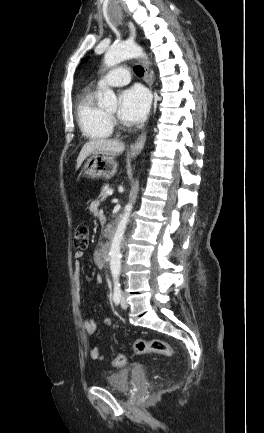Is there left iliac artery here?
Masks as SVG:
<instances>
[{
  "label": "left iliac artery",
  "mask_w": 264,
  "mask_h": 433,
  "mask_svg": "<svg viewBox=\"0 0 264 433\" xmlns=\"http://www.w3.org/2000/svg\"><path fill=\"white\" fill-rule=\"evenodd\" d=\"M121 297V289H120V282L118 278L114 279V293H113V300L115 304H118L120 302Z\"/></svg>",
  "instance_id": "44dca946"
}]
</instances>
